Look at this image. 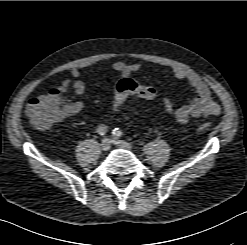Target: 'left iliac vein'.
<instances>
[{"instance_id": "obj_1", "label": "left iliac vein", "mask_w": 247, "mask_h": 245, "mask_svg": "<svg viewBox=\"0 0 247 245\" xmlns=\"http://www.w3.org/2000/svg\"><path fill=\"white\" fill-rule=\"evenodd\" d=\"M112 143L118 147H121V148H124V149H128V150H131L132 149V146L130 144H128L127 142L123 141V140H120L118 138H114L112 140Z\"/></svg>"}]
</instances>
